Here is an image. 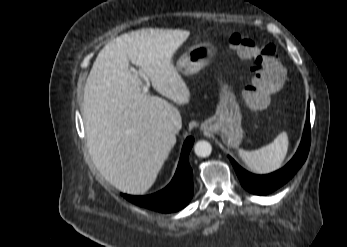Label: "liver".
<instances>
[{"mask_svg": "<svg viewBox=\"0 0 347 247\" xmlns=\"http://www.w3.org/2000/svg\"><path fill=\"white\" fill-rule=\"evenodd\" d=\"M189 31L142 29L122 34L99 52L84 88L88 152L101 175L118 190L144 194L176 143L179 110L142 91L129 61L161 95L188 104L190 91L172 63Z\"/></svg>", "mask_w": 347, "mask_h": 247, "instance_id": "6515ba94", "label": "liver"}]
</instances>
